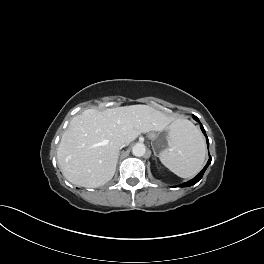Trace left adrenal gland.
Returning <instances> with one entry per match:
<instances>
[{
	"label": "left adrenal gland",
	"mask_w": 264,
	"mask_h": 264,
	"mask_svg": "<svg viewBox=\"0 0 264 264\" xmlns=\"http://www.w3.org/2000/svg\"><path fill=\"white\" fill-rule=\"evenodd\" d=\"M154 155L157 156L155 151H154Z\"/></svg>",
	"instance_id": "obj_1"
}]
</instances>
